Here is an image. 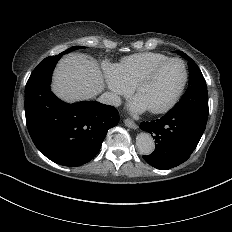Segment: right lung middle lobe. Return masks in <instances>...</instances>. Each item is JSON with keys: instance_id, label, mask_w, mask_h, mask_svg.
<instances>
[{"instance_id": "dd1d6c3e", "label": "right lung middle lobe", "mask_w": 232, "mask_h": 232, "mask_svg": "<svg viewBox=\"0 0 232 232\" xmlns=\"http://www.w3.org/2000/svg\"><path fill=\"white\" fill-rule=\"evenodd\" d=\"M81 47L80 46H74V47H71L69 49H67L66 51L62 52V54H67L71 51H74V50H77V49H80Z\"/></svg>"}]
</instances>
